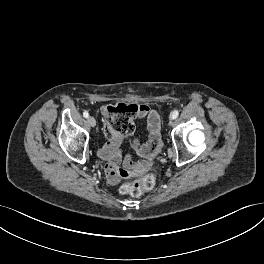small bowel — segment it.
Wrapping results in <instances>:
<instances>
[{
  "instance_id": "small-bowel-1",
  "label": "small bowel",
  "mask_w": 264,
  "mask_h": 264,
  "mask_svg": "<svg viewBox=\"0 0 264 264\" xmlns=\"http://www.w3.org/2000/svg\"><path fill=\"white\" fill-rule=\"evenodd\" d=\"M136 106V117L138 119H146L149 132L148 140L145 143H141L139 139H133L130 141L125 135L111 134L108 136L109 140L99 151L100 157L108 162L106 166V174L108 181L112 184H116L119 181L120 176H122V173L126 171L119 168L120 164H123L126 169L134 167L128 156L125 158L122 156L121 146L124 143H130L134 152L143 160H149L154 157L162 147L159 113L146 104H139ZM107 127L108 124L106 122L104 130ZM137 169L143 171L144 166L139 164Z\"/></svg>"
}]
</instances>
